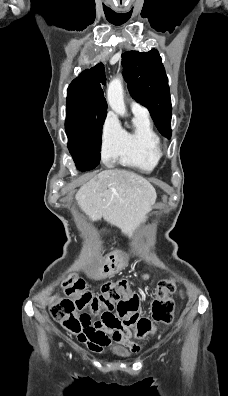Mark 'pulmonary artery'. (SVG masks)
<instances>
[{
  "mask_svg": "<svg viewBox=\"0 0 228 396\" xmlns=\"http://www.w3.org/2000/svg\"><path fill=\"white\" fill-rule=\"evenodd\" d=\"M131 110L133 113H147V110L145 107H143L141 104L137 102H132L131 103Z\"/></svg>",
  "mask_w": 228,
  "mask_h": 396,
  "instance_id": "e3ab8cb5",
  "label": "pulmonary artery"
}]
</instances>
